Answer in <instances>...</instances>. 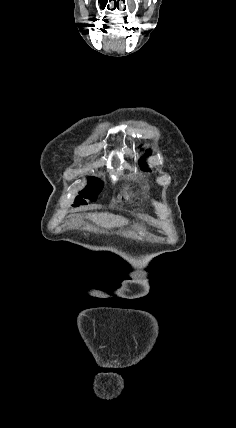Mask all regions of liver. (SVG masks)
<instances>
[{"label": "liver", "instance_id": "6515ba94", "mask_svg": "<svg viewBox=\"0 0 236 428\" xmlns=\"http://www.w3.org/2000/svg\"><path fill=\"white\" fill-rule=\"evenodd\" d=\"M89 220L103 226V228H119V226H126L127 220L122 216H113V214H88Z\"/></svg>", "mask_w": 236, "mask_h": 428}]
</instances>
